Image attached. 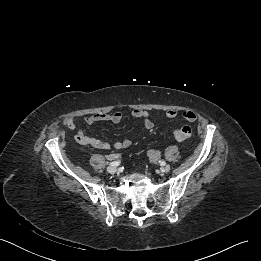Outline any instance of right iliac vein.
Here are the masks:
<instances>
[{"mask_svg": "<svg viewBox=\"0 0 261 261\" xmlns=\"http://www.w3.org/2000/svg\"><path fill=\"white\" fill-rule=\"evenodd\" d=\"M116 170H117V168H116L115 166H109V167L107 168V171H108V173H110V174L115 173Z\"/></svg>", "mask_w": 261, "mask_h": 261, "instance_id": "1", "label": "right iliac vein"}]
</instances>
